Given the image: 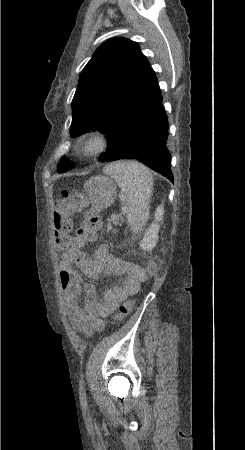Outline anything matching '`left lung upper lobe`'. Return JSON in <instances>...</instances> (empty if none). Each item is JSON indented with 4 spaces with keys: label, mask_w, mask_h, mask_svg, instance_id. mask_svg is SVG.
<instances>
[{
    "label": "left lung upper lobe",
    "mask_w": 245,
    "mask_h": 450,
    "mask_svg": "<svg viewBox=\"0 0 245 450\" xmlns=\"http://www.w3.org/2000/svg\"><path fill=\"white\" fill-rule=\"evenodd\" d=\"M160 88L154 70L137 43L113 38L103 43L80 74L72 101L73 137L83 130L99 128L107 135V154L119 152L142 117L158 97ZM74 166L63 157L57 168Z\"/></svg>",
    "instance_id": "obj_1"
}]
</instances>
